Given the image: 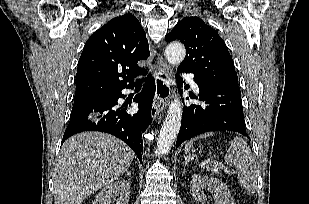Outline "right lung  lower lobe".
<instances>
[{
    "mask_svg": "<svg viewBox=\"0 0 309 204\" xmlns=\"http://www.w3.org/2000/svg\"><path fill=\"white\" fill-rule=\"evenodd\" d=\"M142 92L134 98L139 104L136 114H128L125 107H118L117 101L125 96L121 90L73 105L70 122L62 143L70 136L83 131H101L112 134L127 143L142 159V134L151 122V107L155 83L151 76ZM125 88H133V84ZM124 89V88H123Z\"/></svg>",
    "mask_w": 309,
    "mask_h": 204,
    "instance_id": "right-lung-lower-lobe-1",
    "label": "right lung lower lobe"
}]
</instances>
